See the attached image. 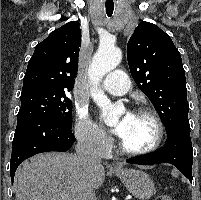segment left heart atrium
I'll return each mask as SVG.
<instances>
[{
  "mask_svg": "<svg viewBox=\"0 0 201 200\" xmlns=\"http://www.w3.org/2000/svg\"><path fill=\"white\" fill-rule=\"evenodd\" d=\"M114 133L121 136L122 135V132H123V125H117L115 128H114Z\"/></svg>",
  "mask_w": 201,
  "mask_h": 200,
  "instance_id": "obj_1",
  "label": "left heart atrium"
}]
</instances>
